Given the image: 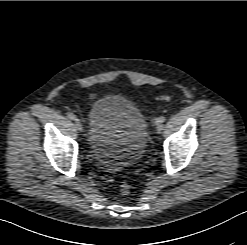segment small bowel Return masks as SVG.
Returning a JSON list of instances; mask_svg holds the SVG:
<instances>
[{"label": "small bowel", "instance_id": "small-bowel-1", "mask_svg": "<svg viewBox=\"0 0 247 245\" xmlns=\"http://www.w3.org/2000/svg\"><path fill=\"white\" fill-rule=\"evenodd\" d=\"M96 96H97L96 93H92V94L89 95V99H93V98H95Z\"/></svg>", "mask_w": 247, "mask_h": 245}]
</instances>
